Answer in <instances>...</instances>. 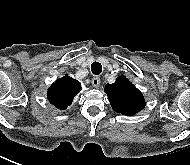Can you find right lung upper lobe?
<instances>
[{
    "label": "right lung upper lobe",
    "mask_w": 190,
    "mask_h": 165,
    "mask_svg": "<svg viewBox=\"0 0 190 165\" xmlns=\"http://www.w3.org/2000/svg\"><path fill=\"white\" fill-rule=\"evenodd\" d=\"M79 81L65 75L56 80L48 89V100L58 109L64 110L71 105L73 98L80 92Z\"/></svg>",
    "instance_id": "cb5924a9"
}]
</instances>
